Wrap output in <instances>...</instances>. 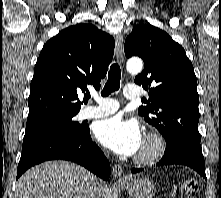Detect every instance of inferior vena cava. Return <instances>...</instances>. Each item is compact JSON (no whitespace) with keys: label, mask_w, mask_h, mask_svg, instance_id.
Instances as JSON below:
<instances>
[{"label":"inferior vena cava","mask_w":221,"mask_h":198,"mask_svg":"<svg viewBox=\"0 0 221 198\" xmlns=\"http://www.w3.org/2000/svg\"><path fill=\"white\" fill-rule=\"evenodd\" d=\"M99 189L100 188L97 179L94 176H91L87 184L88 198H98Z\"/></svg>","instance_id":"602c4592"}]
</instances>
